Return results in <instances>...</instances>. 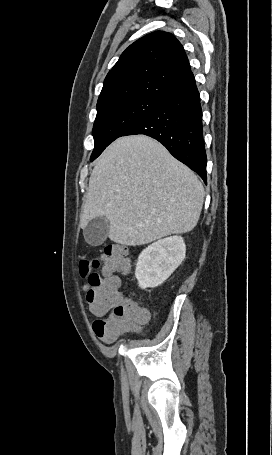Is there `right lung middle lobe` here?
Here are the masks:
<instances>
[{
    "instance_id": "1",
    "label": "right lung middle lobe",
    "mask_w": 272,
    "mask_h": 455,
    "mask_svg": "<svg viewBox=\"0 0 272 455\" xmlns=\"http://www.w3.org/2000/svg\"><path fill=\"white\" fill-rule=\"evenodd\" d=\"M163 103V100L137 96L97 106L93 126L94 150L90 161L129 127L136 124Z\"/></svg>"
}]
</instances>
